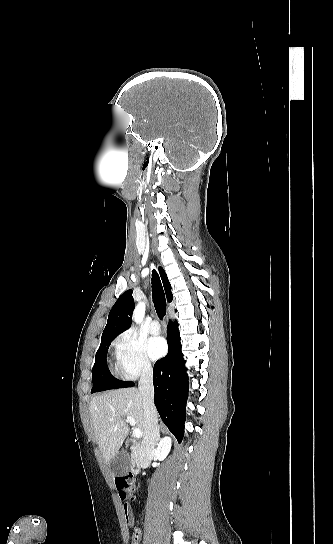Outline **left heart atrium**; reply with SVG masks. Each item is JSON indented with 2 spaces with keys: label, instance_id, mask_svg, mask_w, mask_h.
I'll return each instance as SVG.
<instances>
[{
  "label": "left heart atrium",
  "instance_id": "left-heart-atrium-1",
  "mask_svg": "<svg viewBox=\"0 0 333 544\" xmlns=\"http://www.w3.org/2000/svg\"><path fill=\"white\" fill-rule=\"evenodd\" d=\"M147 351L152 359H159L167 351V344L162 337H152L147 342Z\"/></svg>",
  "mask_w": 333,
  "mask_h": 544
}]
</instances>
